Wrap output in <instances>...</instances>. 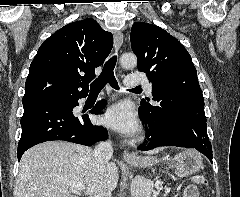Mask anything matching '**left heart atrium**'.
Segmentation results:
<instances>
[{"mask_svg": "<svg viewBox=\"0 0 240 197\" xmlns=\"http://www.w3.org/2000/svg\"><path fill=\"white\" fill-rule=\"evenodd\" d=\"M102 123L125 135L135 133L139 127L136 113L127 102L117 103L107 109L102 116Z\"/></svg>", "mask_w": 240, "mask_h": 197, "instance_id": "1", "label": "left heart atrium"}]
</instances>
